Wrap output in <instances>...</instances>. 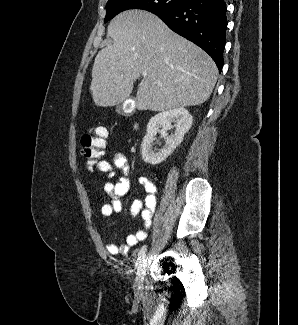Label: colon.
<instances>
[{
	"label": "colon",
	"mask_w": 298,
	"mask_h": 325,
	"mask_svg": "<svg viewBox=\"0 0 298 325\" xmlns=\"http://www.w3.org/2000/svg\"><path fill=\"white\" fill-rule=\"evenodd\" d=\"M107 133L106 128L96 127L81 137V155L89 170H92L103 156Z\"/></svg>",
	"instance_id": "1"
}]
</instances>
